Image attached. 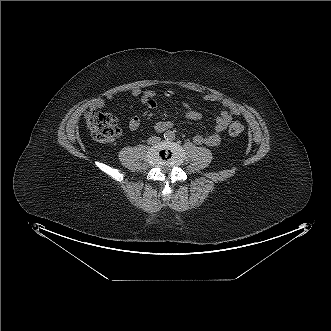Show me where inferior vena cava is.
Segmentation results:
<instances>
[{"label": "inferior vena cava", "mask_w": 331, "mask_h": 331, "mask_svg": "<svg viewBox=\"0 0 331 331\" xmlns=\"http://www.w3.org/2000/svg\"><path fill=\"white\" fill-rule=\"evenodd\" d=\"M159 140H160V138L159 137H156V136H152V137L149 138V142L150 143H155V142H157Z\"/></svg>", "instance_id": "inferior-vena-cava-1"}]
</instances>
